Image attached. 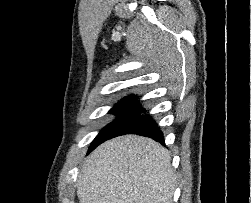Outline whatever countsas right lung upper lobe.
<instances>
[{
	"label": "right lung upper lobe",
	"instance_id": "obj_1",
	"mask_svg": "<svg viewBox=\"0 0 251 203\" xmlns=\"http://www.w3.org/2000/svg\"><path fill=\"white\" fill-rule=\"evenodd\" d=\"M116 107H125V108H136L137 106V99L135 96H129L127 98L122 99L119 103L116 104Z\"/></svg>",
	"mask_w": 251,
	"mask_h": 203
}]
</instances>
